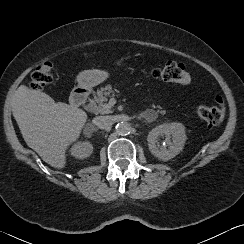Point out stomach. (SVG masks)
<instances>
[{
	"label": "stomach",
	"mask_w": 244,
	"mask_h": 244,
	"mask_svg": "<svg viewBox=\"0 0 244 244\" xmlns=\"http://www.w3.org/2000/svg\"><path fill=\"white\" fill-rule=\"evenodd\" d=\"M130 56H125L115 61V64L120 66L124 60L129 59ZM109 74L102 70H86L81 72L77 77L78 86L80 88H90L99 85L108 78Z\"/></svg>",
	"instance_id": "obj_1"
}]
</instances>
